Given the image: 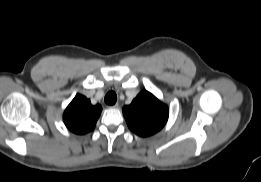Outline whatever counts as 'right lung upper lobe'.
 Segmentation results:
<instances>
[{
	"instance_id": "right-lung-upper-lobe-1",
	"label": "right lung upper lobe",
	"mask_w": 261,
	"mask_h": 182,
	"mask_svg": "<svg viewBox=\"0 0 261 182\" xmlns=\"http://www.w3.org/2000/svg\"><path fill=\"white\" fill-rule=\"evenodd\" d=\"M102 108L92 105L90 100L77 94L66 108L63 120L66 127L76 134H85L94 129Z\"/></svg>"
}]
</instances>
